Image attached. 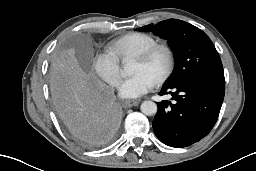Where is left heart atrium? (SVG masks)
Instances as JSON below:
<instances>
[{
	"instance_id": "1",
	"label": "left heart atrium",
	"mask_w": 256,
	"mask_h": 171,
	"mask_svg": "<svg viewBox=\"0 0 256 171\" xmlns=\"http://www.w3.org/2000/svg\"><path fill=\"white\" fill-rule=\"evenodd\" d=\"M155 82L147 75L137 73L122 80L118 86L119 95L123 98H138L153 89Z\"/></svg>"
}]
</instances>
